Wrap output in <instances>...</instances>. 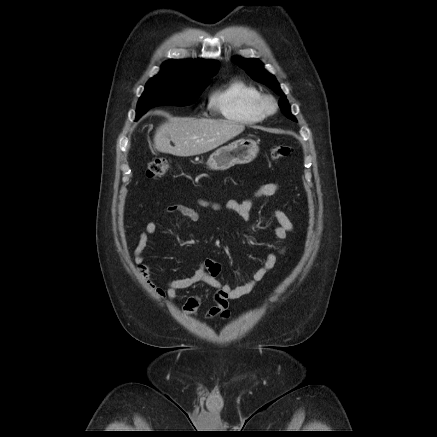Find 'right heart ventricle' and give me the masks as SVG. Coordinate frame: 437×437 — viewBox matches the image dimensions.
I'll list each match as a JSON object with an SVG mask.
<instances>
[{
	"label": "right heart ventricle",
	"instance_id": "right-heart-ventricle-1",
	"mask_svg": "<svg viewBox=\"0 0 437 437\" xmlns=\"http://www.w3.org/2000/svg\"><path fill=\"white\" fill-rule=\"evenodd\" d=\"M260 96L256 87L234 79L211 93L210 106L227 120L246 125L256 124L265 117L258 107Z\"/></svg>",
	"mask_w": 437,
	"mask_h": 437
}]
</instances>
